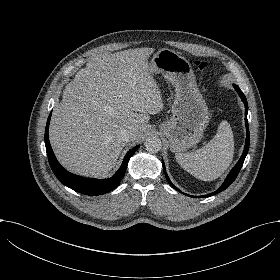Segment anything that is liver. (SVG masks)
Masks as SVG:
<instances>
[{"label": "liver", "mask_w": 280, "mask_h": 280, "mask_svg": "<svg viewBox=\"0 0 280 280\" xmlns=\"http://www.w3.org/2000/svg\"><path fill=\"white\" fill-rule=\"evenodd\" d=\"M153 52L145 47L93 57L66 85L54 108L49 136L67 170L104 177L126 145L121 129L133 133L134 143L142 140L150 115L164 108L148 64Z\"/></svg>", "instance_id": "obj_1"}]
</instances>
